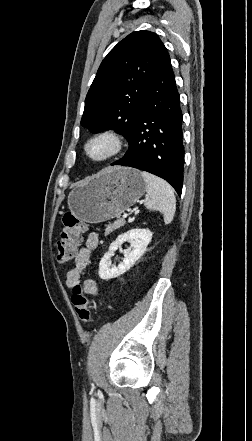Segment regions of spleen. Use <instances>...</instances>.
I'll return each mask as SVG.
<instances>
[{"label":"spleen","mask_w":252,"mask_h":441,"mask_svg":"<svg viewBox=\"0 0 252 441\" xmlns=\"http://www.w3.org/2000/svg\"><path fill=\"white\" fill-rule=\"evenodd\" d=\"M146 182L145 207L163 214L164 223L170 224L176 210V198L172 187L163 179L148 172H141Z\"/></svg>","instance_id":"3e777b00"}]
</instances>
